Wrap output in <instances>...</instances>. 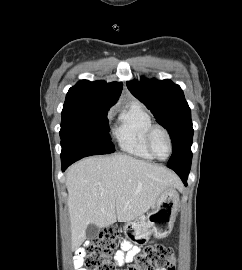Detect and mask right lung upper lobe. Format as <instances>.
<instances>
[{
  "instance_id": "right-lung-upper-lobe-1",
  "label": "right lung upper lobe",
  "mask_w": 242,
  "mask_h": 270,
  "mask_svg": "<svg viewBox=\"0 0 242 270\" xmlns=\"http://www.w3.org/2000/svg\"><path fill=\"white\" fill-rule=\"evenodd\" d=\"M122 84L81 80L69 89L63 110L90 111L110 108L119 98Z\"/></svg>"
}]
</instances>
